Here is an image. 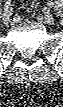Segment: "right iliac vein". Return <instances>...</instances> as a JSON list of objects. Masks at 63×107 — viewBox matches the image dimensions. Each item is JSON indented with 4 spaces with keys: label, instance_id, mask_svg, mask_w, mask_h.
Instances as JSON below:
<instances>
[{
    "label": "right iliac vein",
    "instance_id": "63e3f726",
    "mask_svg": "<svg viewBox=\"0 0 63 107\" xmlns=\"http://www.w3.org/2000/svg\"><path fill=\"white\" fill-rule=\"evenodd\" d=\"M11 19H10V16L9 15H4L3 16V23L5 25H8L10 23Z\"/></svg>",
    "mask_w": 63,
    "mask_h": 107
}]
</instances>
